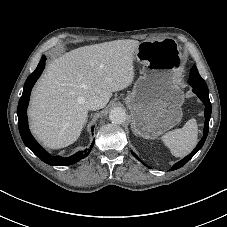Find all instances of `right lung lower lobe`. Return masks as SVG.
Returning a JSON list of instances; mask_svg holds the SVG:
<instances>
[{"mask_svg": "<svg viewBox=\"0 0 227 227\" xmlns=\"http://www.w3.org/2000/svg\"><path fill=\"white\" fill-rule=\"evenodd\" d=\"M46 57L42 56L36 70L29 75L27 78L24 88L23 94L19 100L18 108H17V115H18V126L21 138L24 144L35 154L37 155L43 162L53 165V166H65L71 165L79 160L85 158L90 150L79 151L71 157L62 158L60 156H51L44 148H42L34 137L31 135L29 128H28V119H27V106L30 98V93L33 85L40 77L44 67H45Z\"/></svg>", "mask_w": 227, "mask_h": 227, "instance_id": "obj_1", "label": "right lung lower lobe"}]
</instances>
